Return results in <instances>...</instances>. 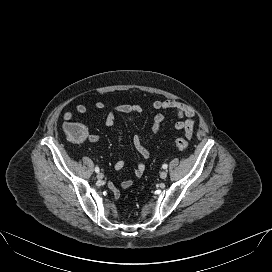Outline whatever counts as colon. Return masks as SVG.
Segmentation results:
<instances>
[{"label":"colon","mask_w":272,"mask_h":272,"mask_svg":"<svg viewBox=\"0 0 272 272\" xmlns=\"http://www.w3.org/2000/svg\"><path fill=\"white\" fill-rule=\"evenodd\" d=\"M64 131L67 135V137L74 142H82L84 141L87 136V130L86 128L76 122H67L64 124ZM188 139L189 135H185V137H178L175 140V145L180 150H185L188 147Z\"/></svg>","instance_id":"obj_1"}]
</instances>
